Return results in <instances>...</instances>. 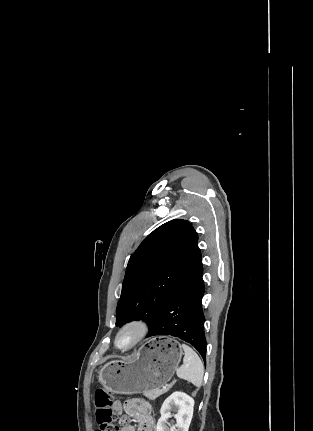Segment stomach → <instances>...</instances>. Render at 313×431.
Here are the masks:
<instances>
[{
  "instance_id": "obj_1",
  "label": "stomach",
  "mask_w": 313,
  "mask_h": 431,
  "mask_svg": "<svg viewBox=\"0 0 313 431\" xmlns=\"http://www.w3.org/2000/svg\"><path fill=\"white\" fill-rule=\"evenodd\" d=\"M182 355L176 340L153 338L130 358L105 364L98 379L106 390L117 394L159 390L173 377Z\"/></svg>"
}]
</instances>
